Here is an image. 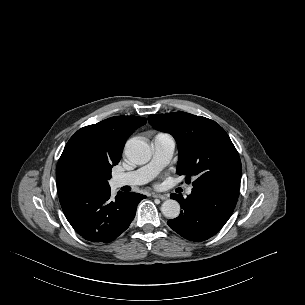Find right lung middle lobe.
<instances>
[{
  "instance_id": "right-lung-middle-lobe-1",
  "label": "right lung middle lobe",
  "mask_w": 305,
  "mask_h": 305,
  "mask_svg": "<svg viewBox=\"0 0 305 305\" xmlns=\"http://www.w3.org/2000/svg\"><path fill=\"white\" fill-rule=\"evenodd\" d=\"M112 166L97 153L80 149L67 161L64 175L80 189H106L109 187Z\"/></svg>"
}]
</instances>
